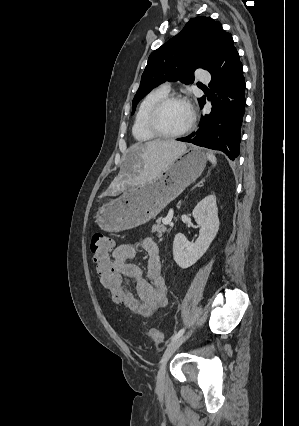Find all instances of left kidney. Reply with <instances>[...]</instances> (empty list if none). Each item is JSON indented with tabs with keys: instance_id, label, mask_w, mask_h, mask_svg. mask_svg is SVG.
<instances>
[{
	"instance_id": "1",
	"label": "left kidney",
	"mask_w": 299,
	"mask_h": 426,
	"mask_svg": "<svg viewBox=\"0 0 299 426\" xmlns=\"http://www.w3.org/2000/svg\"><path fill=\"white\" fill-rule=\"evenodd\" d=\"M193 217L200 226L199 237L189 242L182 234H176L173 241V258L182 269L195 264L207 251L219 229L216 196L208 195L194 208Z\"/></svg>"
}]
</instances>
